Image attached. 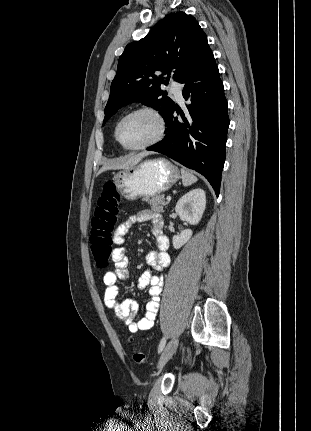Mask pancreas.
Masks as SVG:
<instances>
[{
	"label": "pancreas",
	"mask_w": 311,
	"mask_h": 431,
	"mask_svg": "<svg viewBox=\"0 0 311 431\" xmlns=\"http://www.w3.org/2000/svg\"><path fill=\"white\" fill-rule=\"evenodd\" d=\"M142 202H147L151 206L153 212H164V206H167L164 202V196H154V198H142Z\"/></svg>",
	"instance_id": "obj_1"
}]
</instances>
